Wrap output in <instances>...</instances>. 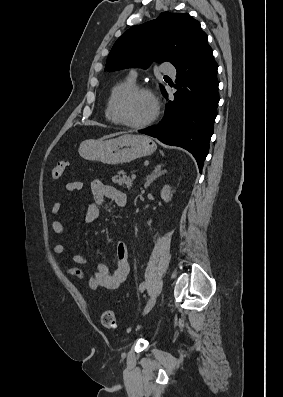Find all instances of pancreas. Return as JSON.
<instances>
[{
    "label": "pancreas",
    "mask_w": 283,
    "mask_h": 397,
    "mask_svg": "<svg viewBox=\"0 0 283 397\" xmlns=\"http://www.w3.org/2000/svg\"><path fill=\"white\" fill-rule=\"evenodd\" d=\"M112 182L119 186H123L125 189L130 190L134 180L126 175V173L121 170L112 178Z\"/></svg>",
    "instance_id": "pancreas-1"
}]
</instances>
